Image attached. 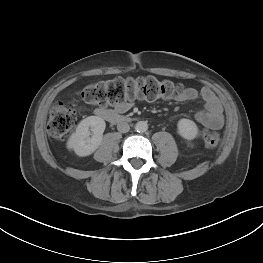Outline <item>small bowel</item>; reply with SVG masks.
<instances>
[{
  "label": "small bowel",
  "mask_w": 263,
  "mask_h": 263,
  "mask_svg": "<svg viewBox=\"0 0 263 263\" xmlns=\"http://www.w3.org/2000/svg\"><path fill=\"white\" fill-rule=\"evenodd\" d=\"M199 97L204 102V109L195 113V119L206 127L219 129L224 123L223 110L217 96L210 88L203 87L200 91L191 87L186 88L184 93L179 96L178 99L180 101L187 102L193 101ZM130 107L131 102H126L124 104L118 105L114 112L124 113ZM102 110L107 109L99 108L96 110V112L99 114Z\"/></svg>",
  "instance_id": "obj_1"
}]
</instances>
